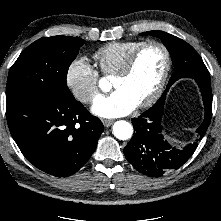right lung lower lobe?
<instances>
[{
  "mask_svg": "<svg viewBox=\"0 0 221 221\" xmlns=\"http://www.w3.org/2000/svg\"><path fill=\"white\" fill-rule=\"evenodd\" d=\"M6 116L13 139L38 169L67 177L91 157L104 130L73 95L54 93L42 99L23 95L6 99Z\"/></svg>",
  "mask_w": 221,
  "mask_h": 221,
  "instance_id": "98d812e1",
  "label": "right lung lower lobe"
}]
</instances>
